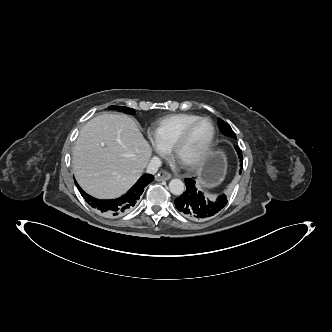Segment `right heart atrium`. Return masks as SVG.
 <instances>
[{"instance_id":"obj_1","label":"right heart atrium","mask_w":332,"mask_h":332,"mask_svg":"<svg viewBox=\"0 0 332 332\" xmlns=\"http://www.w3.org/2000/svg\"><path fill=\"white\" fill-rule=\"evenodd\" d=\"M151 150L159 156H165L168 153V149L162 146L152 135L148 138Z\"/></svg>"}]
</instances>
